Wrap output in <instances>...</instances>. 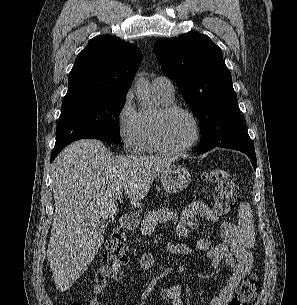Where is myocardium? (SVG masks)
<instances>
[{"label":"myocardium","instance_id":"1","mask_svg":"<svg viewBox=\"0 0 297 305\" xmlns=\"http://www.w3.org/2000/svg\"><path fill=\"white\" fill-rule=\"evenodd\" d=\"M174 113H182L185 114L190 118V120L193 123L194 126V136L191 139V141L186 144L185 146L178 147V148H172L169 147L162 137V130L161 125L162 121L167 118L168 116L174 114ZM201 136V126L199 119L197 116L188 108L170 104L167 106H163L159 109V111L153 116L152 118V124H151V137H152V143L155 146V148L167 155H180L183 153L188 152L191 150L199 141Z\"/></svg>","mask_w":297,"mask_h":305}]
</instances>
